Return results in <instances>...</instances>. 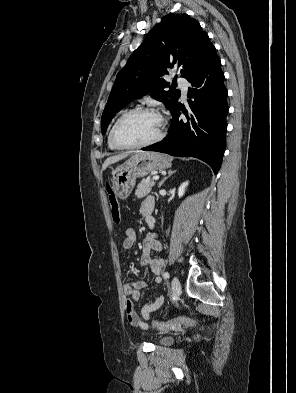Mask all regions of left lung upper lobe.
I'll return each instance as SVG.
<instances>
[{
  "label": "left lung upper lobe",
  "instance_id": "5c2ea615",
  "mask_svg": "<svg viewBox=\"0 0 296 393\" xmlns=\"http://www.w3.org/2000/svg\"><path fill=\"white\" fill-rule=\"evenodd\" d=\"M213 50L215 47L197 20L187 14L164 16L118 73L102 114V133L120 109L148 93L162 101L172 113L180 92L171 87L165 91L169 83L160 76L177 65L182 77L188 79Z\"/></svg>",
  "mask_w": 296,
  "mask_h": 393
}]
</instances>
